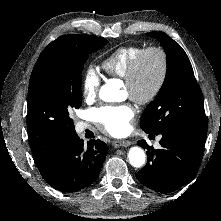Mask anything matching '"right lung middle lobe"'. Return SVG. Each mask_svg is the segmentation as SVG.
Segmentation results:
<instances>
[{
    "mask_svg": "<svg viewBox=\"0 0 221 221\" xmlns=\"http://www.w3.org/2000/svg\"><path fill=\"white\" fill-rule=\"evenodd\" d=\"M106 42L100 37L79 34L74 44L41 53L30 77L28 126L48 134L75 132L69 112L82 103L83 66L89 54Z\"/></svg>",
    "mask_w": 221,
    "mask_h": 221,
    "instance_id": "1",
    "label": "right lung middle lobe"
}]
</instances>
